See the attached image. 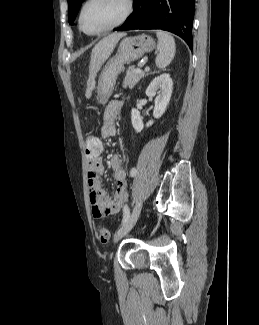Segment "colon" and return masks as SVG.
<instances>
[{"instance_id":"obj_1","label":"colon","mask_w":259,"mask_h":325,"mask_svg":"<svg viewBox=\"0 0 259 325\" xmlns=\"http://www.w3.org/2000/svg\"><path fill=\"white\" fill-rule=\"evenodd\" d=\"M84 146L86 152H93L95 150L103 149V139L97 138L94 134H87L84 139ZM96 237L102 244H106L110 240V232L104 226L98 225L96 228Z\"/></svg>"}]
</instances>
